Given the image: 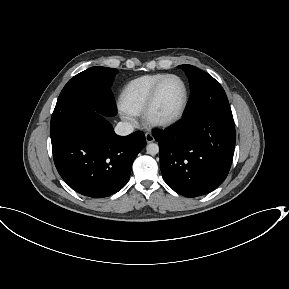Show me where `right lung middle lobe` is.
<instances>
[{"mask_svg": "<svg viewBox=\"0 0 289 289\" xmlns=\"http://www.w3.org/2000/svg\"><path fill=\"white\" fill-rule=\"evenodd\" d=\"M116 72L115 68L91 67L70 79L57 100L50 135L72 125L84 112L115 116L116 107L109 88Z\"/></svg>", "mask_w": 289, "mask_h": 289, "instance_id": "dd1d6c3e", "label": "right lung middle lobe"}]
</instances>
